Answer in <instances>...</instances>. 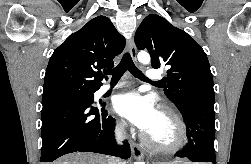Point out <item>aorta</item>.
I'll return each instance as SVG.
<instances>
[{
	"label": "aorta",
	"instance_id": "1",
	"mask_svg": "<svg viewBox=\"0 0 251 164\" xmlns=\"http://www.w3.org/2000/svg\"><path fill=\"white\" fill-rule=\"evenodd\" d=\"M137 58H138V61L143 63V64H148L150 62L149 54L147 52H144V51L139 52ZM135 164H144V163L143 162H137Z\"/></svg>",
	"mask_w": 251,
	"mask_h": 164
}]
</instances>
